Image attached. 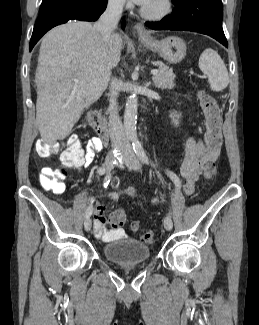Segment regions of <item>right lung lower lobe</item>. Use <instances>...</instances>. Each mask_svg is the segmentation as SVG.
<instances>
[{"mask_svg":"<svg viewBox=\"0 0 259 325\" xmlns=\"http://www.w3.org/2000/svg\"><path fill=\"white\" fill-rule=\"evenodd\" d=\"M106 6L107 0H53L41 6L30 40L29 51L54 26L64 24L69 20L95 21L105 11Z\"/></svg>","mask_w":259,"mask_h":325,"instance_id":"right-lung-lower-lobe-1","label":"right lung lower lobe"}]
</instances>
